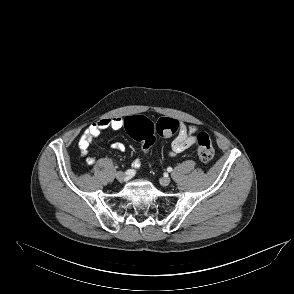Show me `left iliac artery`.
<instances>
[{"instance_id": "44dca946", "label": "left iliac artery", "mask_w": 294, "mask_h": 294, "mask_svg": "<svg viewBox=\"0 0 294 294\" xmlns=\"http://www.w3.org/2000/svg\"><path fill=\"white\" fill-rule=\"evenodd\" d=\"M167 171H168V172H171V171H172V168H171V167H168V168H167Z\"/></svg>"}]
</instances>
